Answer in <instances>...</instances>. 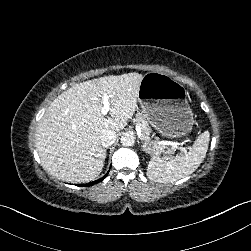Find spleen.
Here are the masks:
<instances>
[{
	"label": "spleen",
	"instance_id": "3e777b00",
	"mask_svg": "<svg viewBox=\"0 0 251 251\" xmlns=\"http://www.w3.org/2000/svg\"><path fill=\"white\" fill-rule=\"evenodd\" d=\"M210 140L209 131H205L195 140L189 153L177 156L167 162L157 156L148 164L147 176L158 183H168L192 174L204 160Z\"/></svg>",
	"mask_w": 251,
	"mask_h": 251
}]
</instances>
